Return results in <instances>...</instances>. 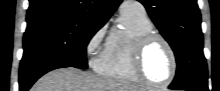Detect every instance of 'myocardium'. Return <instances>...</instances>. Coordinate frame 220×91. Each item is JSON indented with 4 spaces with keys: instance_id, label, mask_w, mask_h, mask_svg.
<instances>
[{
    "instance_id": "obj_1",
    "label": "myocardium",
    "mask_w": 220,
    "mask_h": 91,
    "mask_svg": "<svg viewBox=\"0 0 220 91\" xmlns=\"http://www.w3.org/2000/svg\"><path fill=\"white\" fill-rule=\"evenodd\" d=\"M154 42H161L169 52L171 58V72L169 77L164 82H155L150 80L144 71V56L148 47ZM133 69L141 83L156 88L168 86L177 74V57L170 42L163 36L156 33H149L141 36L134 44L132 52Z\"/></svg>"
}]
</instances>
